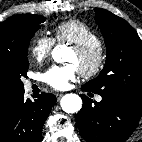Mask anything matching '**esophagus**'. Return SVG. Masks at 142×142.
Instances as JSON below:
<instances>
[{
  "instance_id": "obj_1",
  "label": "esophagus",
  "mask_w": 142,
  "mask_h": 142,
  "mask_svg": "<svg viewBox=\"0 0 142 142\" xmlns=\"http://www.w3.org/2000/svg\"><path fill=\"white\" fill-rule=\"evenodd\" d=\"M62 96H63V94H61V93L56 94V97L58 100H60Z\"/></svg>"
}]
</instances>
